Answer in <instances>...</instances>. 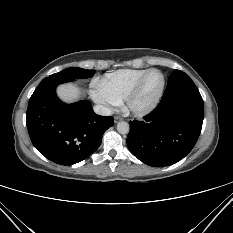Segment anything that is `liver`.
Here are the masks:
<instances>
[{
	"mask_svg": "<svg viewBox=\"0 0 233 233\" xmlns=\"http://www.w3.org/2000/svg\"><path fill=\"white\" fill-rule=\"evenodd\" d=\"M58 97L67 103H72L79 100L81 91L77 85L73 83L62 84L57 87Z\"/></svg>",
	"mask_w": 233,
	"mask_h": 233,
	"instance_id": "liver-1",
	"label": "liver"
}]
</instances>
